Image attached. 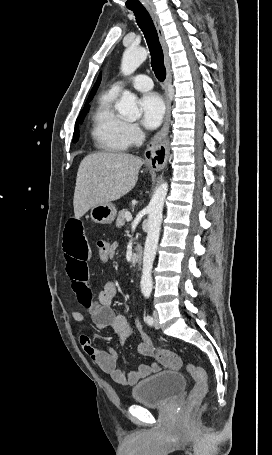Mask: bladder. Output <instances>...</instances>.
Segmentation results:
<instances>
[{
	"label": "bladder",
	"instance_id": "31cf9c89",
	"mask_svg": "<svg viewBox=\"0 0 272 455\" xmlns=\"http://www.w3.org/2000/svg\"><path fill=\"white\" fill-rule=\"evenodd\" d=\"M185 377L176 371H161L136 384L131 392L135 402L163 407L173 401L185 388Z\"/></svg>",
	"mask_w": 272,
	"mask_h": 455
}]
</instances>
